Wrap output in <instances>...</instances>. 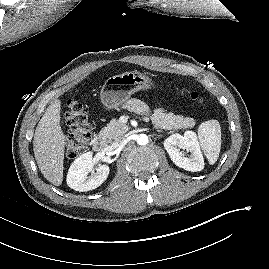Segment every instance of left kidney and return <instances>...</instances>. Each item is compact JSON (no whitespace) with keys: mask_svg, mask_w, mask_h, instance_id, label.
Returning <instances> with one entry per match:
<instances>
[{"mask_svg":"<svg viewBox=\"0 0 269 269\" xmlns=\"http://www.w3.org/2000/svg\"><path fill=\"white\" fill-rule=\"evenodd\" d=\"M164 148L169 154L173 163L184 170L197 172L204 168V159L200 151L197 136L193 131H186L184 136L173 134L164 141ZM190 152L187 157L184 151Z\"/></svg>","mask_w":269,"mask_h":269,"instance_id":"obj_1","label":"left kidney"}]
</instances>
